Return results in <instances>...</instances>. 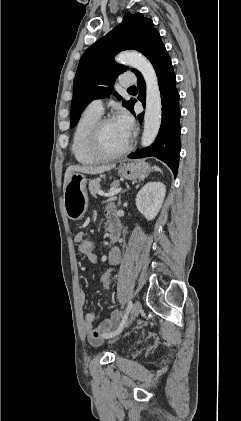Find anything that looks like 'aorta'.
Here are the masks:
<instances>
[{
  "instance_id": "aorta-1",
  "label": "aorta",
  "mask_w": 241,
  "mask_h": 421,
  "mask_svg": "<svg viewBox=\"0 0 241 421\" xmlns=\"http://www.w3.org/2000/svg\"><path fill=\"white\" fill-rule=\"evenodd\" d=\"M116 61L137 69L144 77L146 109L141 145L148 147L154 142L161 125V95L155 70L149 60L137 51H124L116 57Z\"/></svg>"
}]
</instances>
